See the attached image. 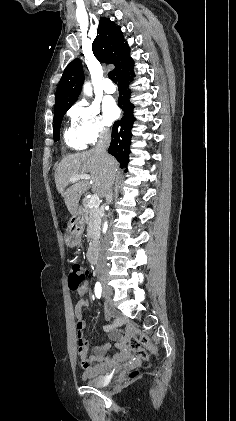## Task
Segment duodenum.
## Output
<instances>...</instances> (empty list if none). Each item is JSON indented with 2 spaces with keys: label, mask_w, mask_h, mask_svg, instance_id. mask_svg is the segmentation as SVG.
<instances>
[{
  "label": "duodenum",
  "mask_w": 236,
  "mask_h": 421,
  "mask_svg": "<svg viewBox=\"0 0 236 421\" xmlns=\"http://www.w3.org/2000/svg\"><path fill=\"white\" fill-rule=\"evenodd\" d=\"M88 259L92 264H96L97 260H98V254H97V247L95 242H91L88 248ZM119 345L121 347L124 346V342L123 340L119 343ZM107 350L106 346H103L102 348L99 349V354H96L94 356L91 357V361H97L100 363H103L104 365H106L105 367L103 365H99L93 368V372L94 373H99V372H105V371H109L111 370L119 361H121L124 357L122 354L116 356L113 359L108 358L107 356H105L103 353Z\"/></svg>",
  "instance_id": "duodenum-1"
}]
</instances>
